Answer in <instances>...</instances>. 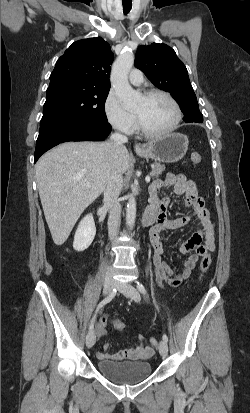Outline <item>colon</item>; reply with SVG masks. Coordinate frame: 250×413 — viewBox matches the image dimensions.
<instances>
[{
  "label": "colon",
  "mask_w": 250,
  "mask_h": 413,
  "mask_svg": "<svg viewBox=\"0 0 250 413\" xmlns=\"http://www.w3.org/2000/svg\"><path fill=\"white\" fill-rule=\"evenodd\" d=\"M191 162L193 164H198L201 161V156L198 153H192L190 156ZM212 263V258L211 254L208 252L205 255H203L201 262H200V277L199 280H202L204 275L207 273V271L210 269ZM109 322V318L104 316L100 323L103 327H106V325ZM112 327L115 330H120L119 332L121 333L122 331H126V324L122 321V318L120 315H115L114 318L112 319ZM149 344L151 347H156L157 346V339L152 337L149 340Z\"/></svg>",
  "instance_id": "obj_1"
}]
</instances>
